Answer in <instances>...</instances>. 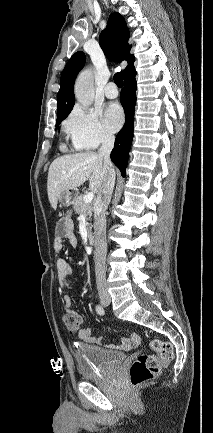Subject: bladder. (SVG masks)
Instances as JSON below:
<instances>
[{"label":"bladder","instance_id":"31cf9c89","mask_svg":"<svg viewBox=\"0 0 213 433\" xmlns=\"http://www.w3.org/2000/svg\"><path fill=\"white\" fill-rule=\"evenodd\" d=\"M74 357L84 379L105 377L113 373L126 358L124 353L83 343L75 348Z\"/></svg>","mask_w":213,"mask_h":433}]
</instances>
